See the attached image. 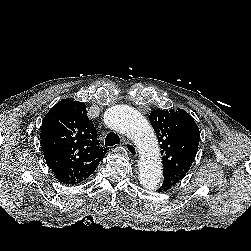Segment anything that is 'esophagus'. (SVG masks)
I'll list each match as a JSON object with an SVG mask.
<instances>
[{"label": "esophagus", "instance_id": "obj_1", "mask_svg": "<svg viewBox=\"0 0 251 251\" xmlns=\"http://www.w3.org/2000/svg\"><path fill=\"white\" fill-rule=\"evenodd\" d=\"M122 142L131 157H136L138 155L137 149L133 143L127 139H123Z\"/></svg>", "mask_w": 251, "mask_h": 251}]
</instances>
